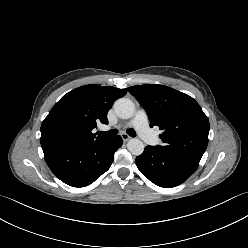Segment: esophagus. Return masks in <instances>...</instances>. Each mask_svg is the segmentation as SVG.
<instances>
[{"instance_id":"34e87169","label":"esophagus","mask_w":248,"mask_h":248,"mask_svg":"<svg viewBox=\"0 0 248 248\" xmlns=\"http://www.w3.org/2000/svg\"><path fill=\"white\" fill-rule=\"evenodd\" d=\"M122 139L124 142H127V141L131 140L132 138L127 134H122Z\"/></svg>"}]
</instances>
